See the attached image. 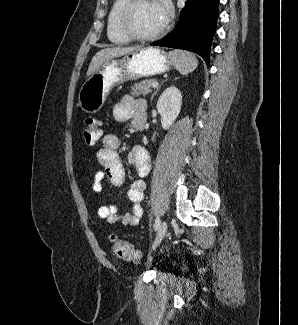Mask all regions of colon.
Segmentation results:
<instances>
[{"label": "colon", "instance_id": "obj_1", "mask_svg": "<svg viewBox=\"0 0 298 325\" xmlns=\"http://www.w3.org/2000/svg\"><path fill=\"white\" fill-rule=\"evenodd\" d=\"M102 136L101 123L93 117H87L83 130L84 142L89 147H94ZM113 254L122 260L136 261L139 259V252L127 241L111 236Z\"/></svg>", "mask_w": 298, "mask_h": 325}]
</instances>
